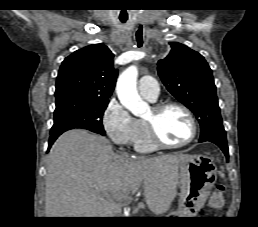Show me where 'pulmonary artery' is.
Instances as JSON below:
<instances>
[{
	"mask_svg": "<svg viewBox=\"0 0 258 227\" xmlns=\"http://www.w3.org/2000/svg\"><path fill=\"white\" fill-rule=\"evenodd\" d=\"M138 90L141 96L150 101H155L159 95L158 83L151 76H144L139 80Z\"/></svg>",
	"mask_w": 258,
	"mask_h": 227,
	"instance_id": "obj_1",
	"label": "pulmonary artery"
}]
</instances>
